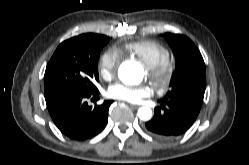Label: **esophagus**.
<instances>
[{
	"label": "esophagus",
	"mask_w": 249,
	"mask_h": 165,
	"mask_svg": "<svg viewBox=\"0 0 249 165\" xmlns=\"http://www.w3.org/2000/svg\"><path fill=\"white\" fill-rule=\"evenodd\" d=\"M130 106L134 109H137L139 107V105H135V104H130Z\"/></svg>",
	"instance_id": "1"
}]
</instances>
